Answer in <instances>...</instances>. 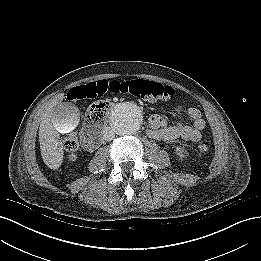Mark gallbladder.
Masks as SVG:
<instances>
[{"instance_id": "gallbladder-1", "label": "gallbladder", "mask_w": 261, "mask_h": 261, "mask_svg": "<svg viewBox=\"0 0 261 261\" xmlns=\"http://www.w3.org/2000/svg\"><path fill=\"white\" fill-rule=\"evenodd\" d=\"M80 121V112L71 102L57 105L51 113L53 127L62 134H68L75 129Z\"/></svg>"}]
</instances>
